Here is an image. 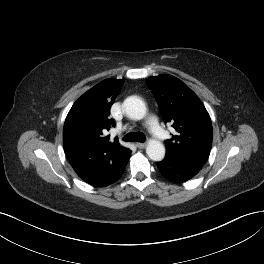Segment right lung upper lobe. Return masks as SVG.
<instances>
[{"instance_id":"right-lung-upper-lobe-1","label":"right lung upper lobe","mask_w":264,"mask_h":264,"mask_svg":"<svg viewBox=\"0 0 264 264\" xmlns=\"http://www.w3.org/2000/svg\"><path fill=\"white\" fill-rule=\"evenodd\" d=\"M123 85V80L106 79L84 93L70 109L63 129L64 151L70 163L124 157L128 150L113 143L104 133L114 126L110 107Z\"/></svg>"}]
</instances>
